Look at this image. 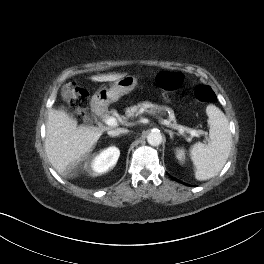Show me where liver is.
Masks as SVG:
<instances>
[{
  "label": "liver",
  "instance_id": "6515ba94",
  "mask_svg": "<svg viewBox=\"0 0 264 264\" xmlns=\"http://www.w3.org/2000/svg\"><path fill=\"white\" fill-rule=\"evenodd\" d=\"M126 74L92 76L96 82L116 81ZM108 128L77 126V121L64 109H50L46 123L45 151L54 169L63 177L71 175L77 165L92 151Z\"/></svg>",
  "mask_w": 264,
  "mask_h": 264
}]
</instances>
